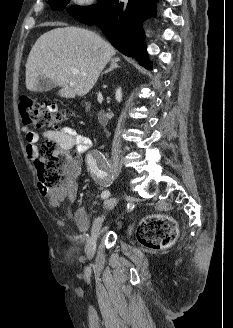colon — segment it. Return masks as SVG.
<instances>
[{
	"mask_svg": "<svg viewBox=\"0 0 233 328\" xmlns=\"http://www.w3.org/2000/svg\"><path fill=\"white\" fill-rule=\"evenodd\" d=\"M19 112L26 126H58L65 118L55 104H43L29 96L20 97ZM35 165L40 186L45 190H56L74 178L76 154L64 152L55 141L48 139L40 145ZM176 236L175 223L161 215L145 218L137 228L138 241L152 250L169 247Z\"/></svg>",
	"mask_w": 233,
	"mask_h": 328,
	"instance_id": "colon-1",
	"label": "colon"
}]
</instances>
